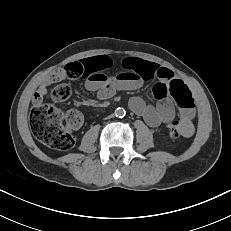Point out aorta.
<instances>
[{
	"label": "aorta",
	"mask_w": 231,
	"mask_h": 231,
	"mask_svg": "<svg viewBox=\"0 0 231 231\" xmlns=\"http://www.w3.org/2000/svg\"><path fill=\"white\" fill-rule=\"evenodd\" d=\"M115 114L117 117H123L125 115V110L119 107L116 109Z\"/></svg>",
	"instance_id": "762f6f07"
}]
</instances>
